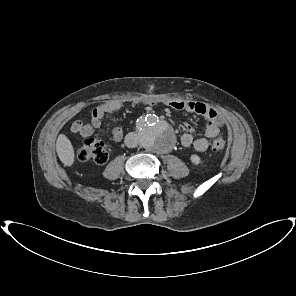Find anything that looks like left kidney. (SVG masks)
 <instances>
[{
	"label": "left kidney",
	"instance_id": "1",
	"mask_svg": "<svg viewBox=\"0 0 296 296\" xmlns=\"http://www.w3.org/2000/svg\"><path fill=\"white\" fill-rule=\"evenodd\" d=\"M190 160L194 165H199L201 163V158L196 154L191 155Z\"/></svg>",
	"mask_w": 296,
	"mask_h": 296
}]
</instances>
